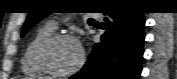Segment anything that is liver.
Listing matches in <instances>:
<instances>
[{
    "label": "liver",
    "instance_id": "1",
    "mask_svg": "<svg viewBox=\"0 0 177 79\" xmlns=\"http://www.w3.org/2000/svg\"><path fill=\"white\" fill-rule=\"evenodd\" d=\"M34 79H47V78L39 76V77H35Z\"/></svg>",
    "mask_w": 177,
    "mask_h": 79
}]
</instances>
